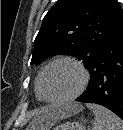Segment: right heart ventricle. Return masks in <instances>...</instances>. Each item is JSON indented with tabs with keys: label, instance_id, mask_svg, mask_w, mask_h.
I'll return each mask as SVG.
<instances>
[{
	"label": "right heart ventricle",
	"instance_id": "1",
	"mask_svg": "<svg viewBox=\"0 0 123 130\" xmlns=\"http://www.w3.org/2000/svg\"><path fill=\"white\" fill-rule=\"evenodd\" d=\"M39 76H40V71L38 72L36 79H35V92H36V96L39 100L41 99L40 93H39Z\"/></svg>",
	"mask_w": 123,
	"mask_h": 130
}]
</instances>
